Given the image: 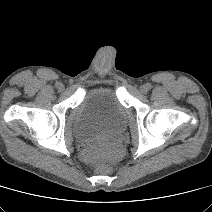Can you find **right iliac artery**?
<instances>
[{"label": "right iliac artery", "instance_id": "82829eb1", "mask_svg": "<svg viewBox=\"0 0 212 212\" xmlns=\"http://www.w3.org/2000/svg\"><path fill=\"white\" fill-rule=\"evenodd\" d=\"M60 83H56V86L58 87Z\"/></svg>", "mask_w": 212, "mask_h": 212}]
</instances>
